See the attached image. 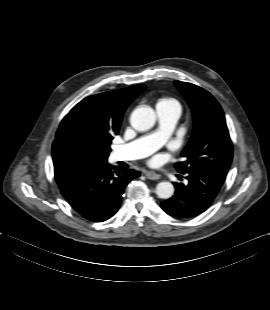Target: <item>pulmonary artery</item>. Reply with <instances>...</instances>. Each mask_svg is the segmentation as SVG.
Returning a JSON list of instances; mask_svg holds the SVG:
<instances>
[{"instance_id":"e3ab8cb5","label":"pulmonary artery","mask_w":270,"mask_h":310,"mask_svg":"<svg viewBox=\"0 0 270 310\" xmlns=\"http://www.w3.org/2000/svg\"><path fill=\"white\" fill-rule=\"evenodd\" d=\"M160 127L157 131L142 136L128 144L119 146L115 150L116 160H136L144 158L160 148L170 137L178 121L180 114L157 108Z\"/></svg>"}]
</instances>
